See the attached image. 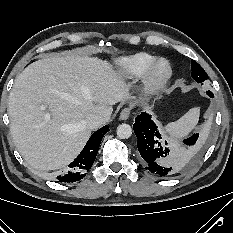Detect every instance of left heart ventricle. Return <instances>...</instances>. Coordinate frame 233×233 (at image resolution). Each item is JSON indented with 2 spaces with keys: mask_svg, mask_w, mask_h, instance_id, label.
<instances>
[{
  "mask_svg": "<svg viewBox=\"0 0 233 233\" xmlns=\"http://www.w3.org/2000/svg\"><path fill=\"white\" fill-rule=\"evenodd\" d=\"M164 70V68H161V71H163Z\"/></svg>",
  "mask_w": 233,
  "mask_h": 233,
  "instance_id": "b2bd125f",
  "label": "left heart ventricle"
}]
</instances>
